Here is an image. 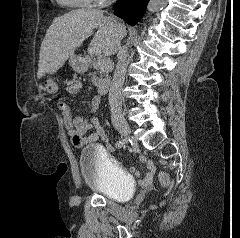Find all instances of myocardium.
Instances as JSON below:
<instances>
[{"mask_svg": "<svg viewBox=\"0 0 240 238\" xmlns=\"http://www.w3.org/2000/svg\"><path fill=\"white\" fill-rule=\"evenodd\" d=\"M89 2H95V1H97V0H88Z\"/></svg>", "mask_w": 240, "mask_h": 238, "instance_id": "f54148a6", "label": "myocardium"}]
</instances>
